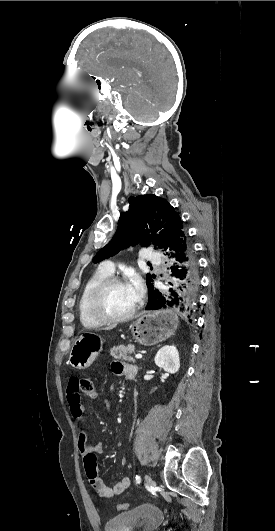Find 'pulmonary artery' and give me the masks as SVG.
<instances>
[{
	"mask_svg": "<svg viewBox=\"0 0 275 531\" xmlns=\"http://www.w3.org/2000/svg\"><path fill=\"white\" fill-rule=\"evenodd\" d=\"M144 256H147V253H144ZM148 256L149 258H147V261H149L150 264L154 265L156 268H159L161 266V263H160L161 258L157 250L155 249L150 250L148 253ZM101 269L107 273H112L114 271V268L112 267V264L109 261H104L101 264ZM159 271L161 273H164L166 271V268L164 266H161L159 268Z\"/></svg>",
	"mask_w": 275,
	"mask_h": 531,
	"instance_id": "obj_1",
	"label": "pulmonary artery"
}]
</instances>
